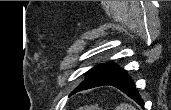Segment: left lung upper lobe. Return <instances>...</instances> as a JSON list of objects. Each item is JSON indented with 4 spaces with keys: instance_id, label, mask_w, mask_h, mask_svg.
I'll list each match as a JSON object with an SVG mask.
<instances>
[{
    "instance_id": "left-lung-upper-lobe-1",
    "label": "left lung upper lobe",
    "mask_w": 171,
    "mask_h": 110,
    "mask_svg": "<svg viewBox=\"0 0 171 110\" xmlns=\"http://www.w3.org/2000/svg\"><path fill=\"white\" fill-rule=\"evenodd\" d=\"M117 67L115 64H106V65H98L94 68H92L88 73H87V78L82 82H90L94 79H96L97 77H99L100 75H102L103 73L107 72L108 70H111L113 68Z\"/></svg>"
}]
</instances>
